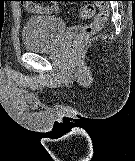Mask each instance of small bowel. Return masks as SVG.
Masks as SVG:
<instances>
[{"label":"small bowel","mask_w":135,"mask_h":161,"mask_svg":"<svg viewBox=\"0 0 135 161\" xmlns=\"http://www.w3.org/2000/svg\"><path fill=\"white\" fill-rule=\"evenodd\" d=\"M22 3L27 8V10L34 13H51L57 9L56 5L41 6L35 4L33 1H22Z\"/></svg>","instance_id":"c3829d8e"}]
</instances>
